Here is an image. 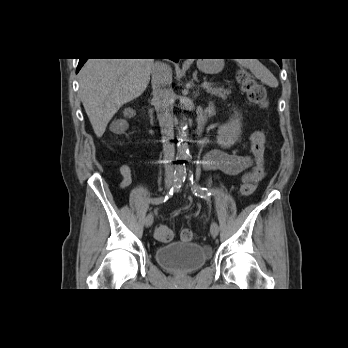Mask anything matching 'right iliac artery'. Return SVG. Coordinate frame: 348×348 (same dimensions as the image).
I'll return each instance as SVG.
<instances>
[{
    "label": "right iliac artery",
    "mask_w": 348,
    "mask_h": 348,
    "mask_svg": "<svg viewBox=\"0 0 348 348\" xmlns=\"http://www.w3.org/2000/svg\"><path fill=\"white\" fill-rule=\"evenodd\" d=\"M186 179V168L185 167H180L177 172H175V177H174V184L172 188L167 192V194L163 197L159 198H154L152 202L154 204H160L168 200L169 197L173 195L174 192L178 191L180 187L182 186V183Z\"/></svg>",
    "instance_id": "right-iliac-artery-1"
}]
</instances>
